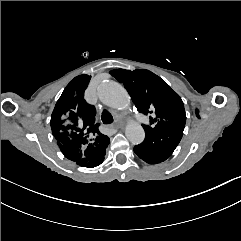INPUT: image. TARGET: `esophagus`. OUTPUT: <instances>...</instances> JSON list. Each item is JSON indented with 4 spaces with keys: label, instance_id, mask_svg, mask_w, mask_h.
<instances>
[{
    "label": "esophagus",
    "instance_id": "34e87169",
    "mask_svg": "<svg viewBox=\"0 0 241 241\" xmlns=\"http://www.w3.org/2000/svg\"><path fill=\"white\" fill-rule=\"evenodd\" d=\"M112 127L113 128H120L121 127V123L120 122H116Z\"/></svg>",
    "mask_w": 241,
    "mask_h": 241
}]
</instances>
